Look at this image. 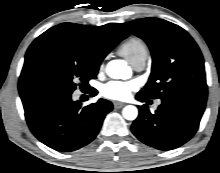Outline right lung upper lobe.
Masks as SVG:
<instances>
[{
  "mask_svg": "<svg viewBox=\"0 0 220 173\" xmlns=\"http://www.w3.org/2000/svg\"><path fill=\"white\" fill-rule=\"evenodd\" d=\"M128 37L117 24L90 27L62 23L37 37L28 48L19 78L20 95L40 89L39 72L57 51L71 53L91 65L100 66L105 56L123 39Z\"/></svg>",
  "mask_w": 220,
  "mask_h": 173,
  "instance_id": "obj_1",
  "label": "right lung upper lobe"
}]
</instances>
